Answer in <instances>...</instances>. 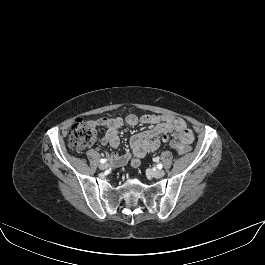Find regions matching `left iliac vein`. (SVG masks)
Masks as SVG:
<instances>
[{
	"mask_svg": "<svg viewBox=\"0 0 265 265\" xmlns=\"http://www.w3.org/2000/svg\"><path fill=\"white\" fill-rule=\"evenodd\" d=\"M150 174L155 178H161L165 175V172L159 169V170H152Z\"/></svg>",
	"mask_w": 265,
	"mask_h": 265,
	"instance_id": "1",
	"label": "left iliac vein"
}]
</instances>
